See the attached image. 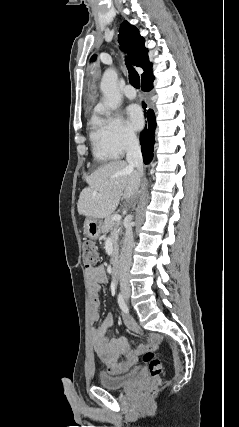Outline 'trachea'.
I'll list each match as a JSON object with an SVG mask.
<instances>
[{
  "label": "trachea",
  "mask_w": 239,
  "mask_h": 427,
  "mask_svg": "<svg viewBox=\"0 0 239 427\" xmlns=\"http://www.w3.org/2000/svg\"><path fill=\"white\" fill-rule=\"evenodd\" d=\"M126 64H127L128 70H129V82L135 88H137V89L140 88V77H139V74L135 71L134 68H132L128 64V62Z\"/></svg>",
  "instance_id": "trachea-1"
}]
</instances>
